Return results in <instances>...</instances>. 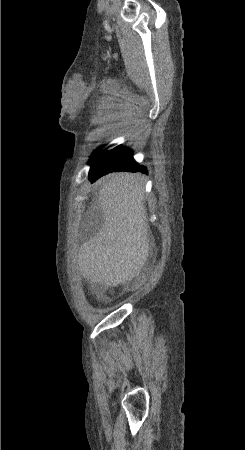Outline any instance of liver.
Returning a JSON list of instances; mask_svg holds the SVG:
<instances>
[{
    "mask_svg": "<svg viewBox=\"0 0 245 450\" xmlns=\"http://www.w3.org/2000/svg\"><path fill=\"white\" fill-rule=\"evenodd\" d=\"M102 226L79 249L83 277L117 286L137 276L147 260L149 224L143 202V184L132 173H112L98 181Z\"/></svg>",
    "mask_w": 245,
    "mask_h": 450,
    "instance_id": "liver-1",
    "label": "liver"
}]
</instances>
